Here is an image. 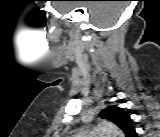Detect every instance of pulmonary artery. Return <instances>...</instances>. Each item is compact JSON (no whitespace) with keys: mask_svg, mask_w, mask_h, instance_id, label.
<instances>
[{"mask_svg":"<svg viewBox=\"0 0 160 137\" xmlns=\"http://www.w3.org/2000/svg\"><path fill=\"white\" fill-rule=\"evenodd\" d=\"M74 137H106L103 132L98 130L80 132Z\"/></svg>","mask_w":160,"mask_h":137,"instance_id":"1","label":"pulmonary artery"}]
</instances>
